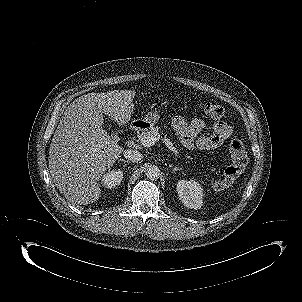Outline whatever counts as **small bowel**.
<instances>
[{
    "mask_svg": "<svg viewBox=\"0 0 302 302\" xmlns=\"http://www.w3.org/2000/svg\"><path fill=\"white\" fill-rule=\"evenodd\" d=\"M181 143L188 149L198 148L210 150L224 144L232 135V127L224 121H216L210 133H202L205 124L200 119L187 121L180 116H175L171 121Z\"/></svg>",
    "mask_w": 302,
    "mask_h": 302,
    "instance_id": "obj_1",
    "label": "small bowel"
}]
</instances>
